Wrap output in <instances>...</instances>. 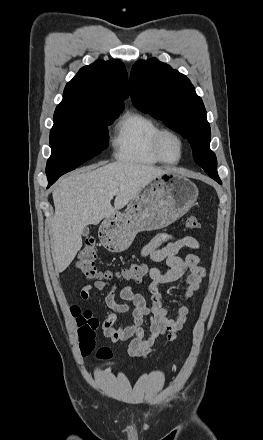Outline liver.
<instances>
[{
    "instance_id": "6515ba94",
    "label": "liver",
    "mask_w": 263,
    "mask_h": 440,
    "mask_svg": "<svg viewBox=\"0 0 263 440\" xmlns=\"http://www.w3.org/2000/svg\"><path fill=\"white\" fill-rule=\"evenodd\" d=\"M83 168L58 182L52 196L50 226L55 270L63 272L82 247L87 225H97L125 207L152 180L169 171L136 162L118 161ZM116 192L114 206L110 194Z\"/></svg>"
}]
</instances>
